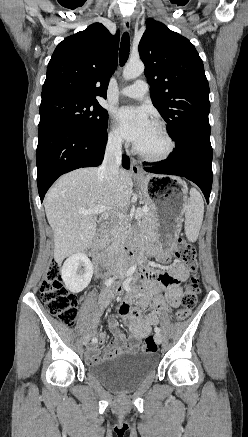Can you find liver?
Returning a JSON list of instances; mask_svg holds the SVG:
<instances>
[{"mask_svg": "<svg viewBox=\"0 0 248 437\" xmlns=\"http://www.w3.org/2000/svg\"><path fill=\"white\" fill-rule=\"evenodd\" d=\"M129 172L119 171L118 182L110 187L97 168H81L63 175L48 191L44 200L46 217L54 233V259L60 264L66 257L89 247L96 235L94 215L80 210L105 206L104 215L125 208L132 195Z\"/></svg>", "mask_w": 248, "mask_h": 437, "instance_id": "1", "label": "liver"}]
</instances>
